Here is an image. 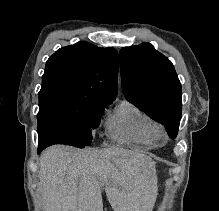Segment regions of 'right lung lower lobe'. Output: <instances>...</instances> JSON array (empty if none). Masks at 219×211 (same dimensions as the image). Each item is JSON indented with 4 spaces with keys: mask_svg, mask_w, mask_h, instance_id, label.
<instances>
[{
    "mask_svg": "<svg viewBox=\"0 0 219 211\" xmlns=\"http://www.w3.org/2000/svg\"><path fill=\"white\" fill-rule=\"evenodd\" d=\"M54 142H40L38 143V153H40L43 149H45L46 147L53 145Z\"/></svg>",
    "mask_w": 219,
    "mask_h": 211,
    "instance_id": "98d812e1",
    "label": "right lung lower lobe"
}]
</instances>
